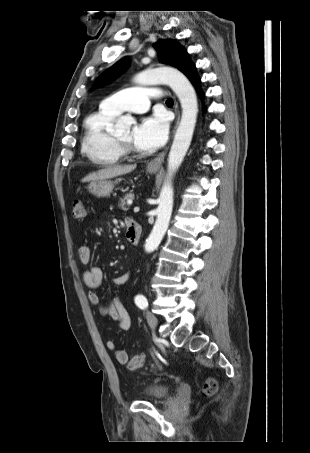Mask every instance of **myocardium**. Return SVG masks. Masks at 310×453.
<instances>
[{
	"mask_svg": "<svg viewBox=\"0 0 310 453\" xmlns=\"http://www.w3.org/2000/svg\"><path fill=\"white\" fill-rule=\"evenodd\" d=\"M113 141L123 156L135 155L137 153L131 143L123 142L115 136H113Z\"/></svg>",
	"mask_w": 310,
	"mask_h": 453,
	"instance_id": "obj_1",
	"label": "myocardium"
}]
</instances>
